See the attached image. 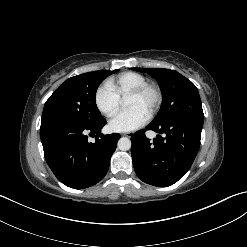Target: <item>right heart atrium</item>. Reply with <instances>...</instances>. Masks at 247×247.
<instances>
[{
  "label": "right heart atrium",
  "instance_id": "1",
  "mask_svg": "<svg viewBox=\"0 0 247 247\" xmlns=\"http://www.w3.org/2000/svg\"><path fill=\"white\" fill-rule=\"evenodd\" d=\"M94 102L101 114L112 117L119 108L120 98L108 84H104L95 91Z\"/></svg>",
  "mask_w": 247,
  "mask_h": 247
}]
</instances>
